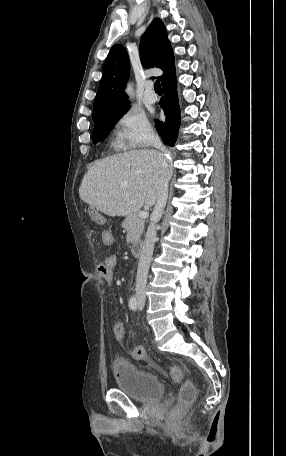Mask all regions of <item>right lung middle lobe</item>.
<instances>
[{
    "instance_id": "right-lung-middle-lobe-1",
    "label": "right lung middle lobe",
    "mask_w": 286,
    "mask_h": 456,
    "mask_svg": "<svg viewBox=\"0 0 286 456\" xmlns=\"http://www.w3.org/2000/svg\"><path fill=\"white\" fill-rule=\"evenodd\" d=\"M127 110L128 107L116 108L95 119V125L92 134L93 143L104 140L108 133L113 129L117 121L125 114Z\"/></svg>"
}]
</instances>
